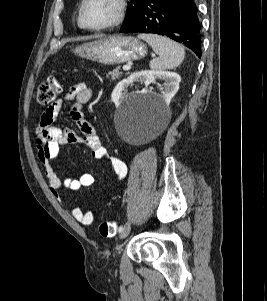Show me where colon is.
I'll use <instances>...</instances> for the list:
<instances>
[{"mask_svg":"<svg viewBox=\"0 0 267 301\" xmlns=\"http://www.w3.org/2000/svg\"><path fill=\"white\" fill-rule=\"evenodd\" d=\"M61 91V87L57 80L53 77L48 78L43 82L37 90V102L40 105L47 106L52 104L58 94ZM116 223L113 221H104L99 225V233L103 237H112L116 233Z\"/></svg>","mask_w":267,"mask_h":301,"instance_id":"obj_1","label":"colon"}]
</instances>
